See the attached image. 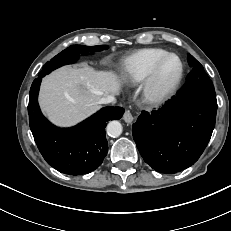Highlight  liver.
<instances>
[{
    "label": "liver",
    "instance_id": "obj_1",
    "mask_svg": "<svg viewBox=\"0 0 231 231\" xmlns=\"http://www.w3.org/2000/svg\"><path fill=\"white\" fill-rule=\"evenodd\" d=\"M120 90L121 81L112 71H97L87 65L63 67L43 79L39 104L52 123L72 126L93 114L103 96Z\"/></svg>",
    "mask_w": 231,
    "mask_h": 231
}]
</instances>
